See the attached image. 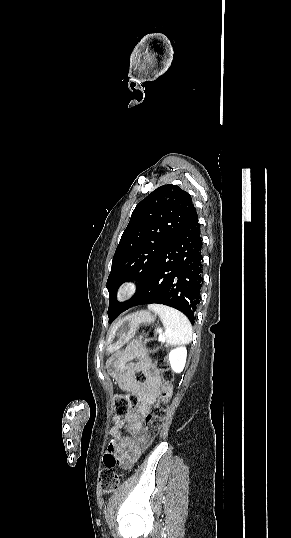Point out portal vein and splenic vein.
<instances>
[{"label":"portal vein and splenic vein","mask_w":291,"mask_h":538,"mask_svg":"<svg viewBox=\"0 0 291 538\" xmlns=\"http://www.w3.org/2000/svg\"><path fill=\"white\" fill-rule=\"evenodd\" d=\"M159 341H162L164 339V334L162 333V331H159Z\"/></svg>","instance_id":"18ae733b"}]
</instances>
